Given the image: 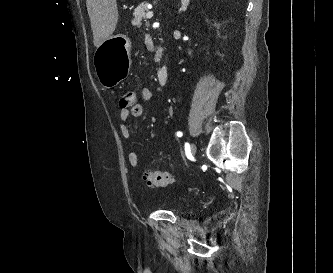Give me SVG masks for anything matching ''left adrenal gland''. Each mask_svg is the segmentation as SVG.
Masks as SVG:
<instances>
[{
    "mask_svg": "<svg viewBox=\"0 0 333 273\" xmlns=\"http://www.w3.org/2000/svg\"><path fill=\"white\" fill-rule=\"evenodd\" d=\"M190 0H181L180 11H186L187 6L189 5Z\"/></svg>",
    "mask_w": 333,
    "mask_h": 273,
    "instance_id": "obj_1",
    "label": "left adrenal gland"
}]
</instances>
